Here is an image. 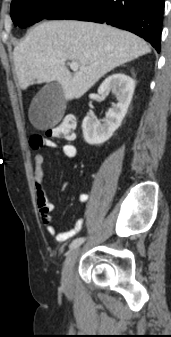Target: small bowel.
Wrapping results in <instances>:
<instances>
[{"instance_id": "small-bowel-1", "label": "small bowel", "mask_w": 171, "mask_h": 337, "mask_svg": "<svg viewBox=\"0 0 171 337\" xmlns=\"http://www.w3.org/2000/svg\"><path fill=\"white\" fill-rule=\"evenodd\" d=\"M30 144L32 149L35 151L33 156V182L41 221L46 226V229L51 236L59 242H65L69 238L77 236L83 230L84 220L82 218L78 219L73 227L67 231H60L55 226L52 216L54 206L49 199L48 192L45 187V173L43 169L45 158L41 152V148L46 146L55 154L62 153L67 158L73 159L78 155L77 147L72 143L59 145L54 140L42 136L32 137L30 139ZM68 185V181L62 182L61 189H65ZM88 201L89 196L87 194H81L79 196V202L81 204L85 205Z\"/></svg>"}]
</instances>
